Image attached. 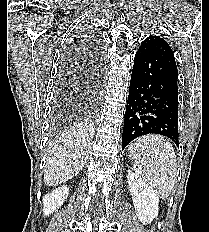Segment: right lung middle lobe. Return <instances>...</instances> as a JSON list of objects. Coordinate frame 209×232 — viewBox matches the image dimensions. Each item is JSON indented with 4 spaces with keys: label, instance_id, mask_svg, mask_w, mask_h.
<instances>
[{
    "label": "right lung middle lobe",
    "instance_id": "right-lung-middle-lobe-1",
    "mask_svg": "<svg viewBox=\"0 0 209 232\" xmlns=\"http://www.w3.org/2000/svg\"><path fill=\"white\" fill-rule=\"evenodd\" d=\"M68 104L69 102L65 99V97H61L59 100H57L54 116V124L57 128L64 127L68 122V117L71 112L70 105Z\"/></svg>",
    "mask_w": 209,
    "mask_h": 232
}]
</instances>
